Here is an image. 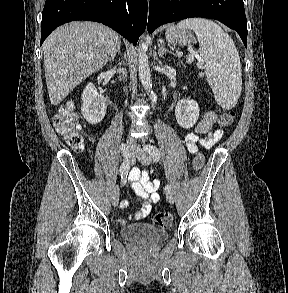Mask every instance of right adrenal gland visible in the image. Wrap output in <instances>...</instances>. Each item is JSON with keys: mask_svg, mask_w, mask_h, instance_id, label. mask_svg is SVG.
Returning <instances> with one entry per match:
<instances>
[{"mask_svg": "<svg viewBox=\"0 0 288 293\" xmlns=\"http://www.w3.org/2000/svg\"><path fill=\"white\" fill-rule=\"evenodd\" d=\"M120 47H121V41L118 42L117 49H116L114 55L112 56V58L109 60L110 62L114 60V58H115V56H116L117 53L118 54L121 53Z\"/></svg>", "mask_w": 288, "mask_h": 293, "instance_id": "obj_1", "label": "right adrenal gland"}]
</instances>
